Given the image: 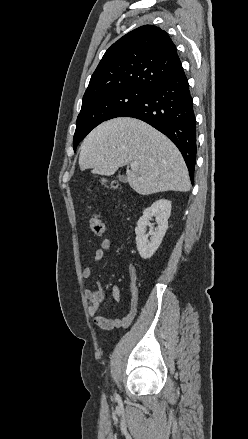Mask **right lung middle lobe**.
Wrapping results in <instances>:
<instances>
[{"label":"right lung middle lobe","mask_w":248,"mask_h":439,"mask_svg":"<svg viewBox=\"0 0 248 439\" xmlns=\"http://www.w3.org/2000/svg\"><path fill=\"white\" fill-rule=\"evenodd\" d=\"M146 92V90L137 88L119 89L82 103L76 121L74 151L92 129L106 120L119 117L133 107Z\"/></svg>","instance_id":"dd1d6c3e"}]
</instances>
